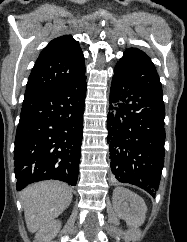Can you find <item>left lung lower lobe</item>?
<instances>
[{
	"label": "left lung lower lobe",
	"instance_id": "obj_1",
	"mask_svg": "<svg viewBox=\"0 0 187 242\" xmlns=\"http://www.w3.org/2000/svg\"><path fill=\"white\" fill-rule=\"evenodd\" d=\"M107 118L115 178L155 197L164 164L165 107L162 96L114 74Z\"/></svg>",
	"mask_w": 187,
	"mask_h": 242
}]
</instances>
